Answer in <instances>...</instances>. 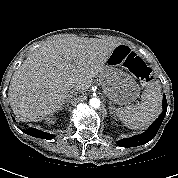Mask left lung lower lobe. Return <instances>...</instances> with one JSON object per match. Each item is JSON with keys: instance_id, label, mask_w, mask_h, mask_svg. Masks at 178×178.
<instances>
[{"instance_id": "1", "label": "left lung lower lobe", "mask_w": 178, "mask_h": 178, "mask_svg": "<svg viewBox=\"0 0 178 178\" xmlns=\"http://www.w3.org/2000/svg\"><path fill=\"white\" fill-rule=\"evenodd\" d=\"M166 111H167V100H166V96L163 95V112L152 123V125L147 129V131L141 135H136L128 139L119 140L117 142V145L121 147H135V146L143 145L149 142L150 140H152L155 137L156 133L158 132L163 122V119L166 115Z\"/></svg>"}]
</instances>
